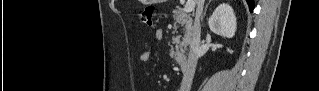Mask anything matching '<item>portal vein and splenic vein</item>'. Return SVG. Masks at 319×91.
Segmentation results:
<instances>
[{"instance_id":"1","label":"portal vein and splenic vein","mask_w":319,"mask_h":91,"mask_svg":"<svg viewBox=\"0 0 319 91\" xmlns=\"http://www.w3.org/2000/svg\"><path fill=\"white\" fill-rule=\"evenodd\" d=\"M194 7H195V2L188 0L185 7H184V12L191 13L194 10Z\"/></svg>"}]
</instances>
